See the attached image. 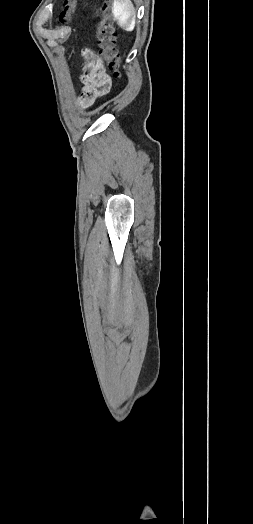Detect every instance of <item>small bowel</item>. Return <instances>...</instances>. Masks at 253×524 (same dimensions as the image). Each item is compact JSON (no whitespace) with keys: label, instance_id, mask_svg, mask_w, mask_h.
Instances as JSON below:
<instances>
[{"label":"small bowel","instance_id":"small-bowel-1","mask_svg":"<svg viewBox=\"0 0 253 524\" xmlns=\"http://www.w3.org/2000/svg\"><path fill=\"white\" fill-rule=\"evenodd\" d=\"M83 53L86 63L81 75L83 83L81 101L84 105H88L109 91L111 80L105 72L101 59L92 50L85 49Z\"/></svg>","mask_w":253,"mask_h":524}]
</instances>
